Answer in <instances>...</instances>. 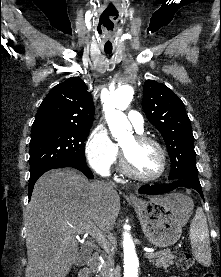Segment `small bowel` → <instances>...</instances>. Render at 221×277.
<instances>
[{
	"label": "small bowel",
	"mask_w": 221,
	"mask_h": 277,
	"mask_svg": "<svg viewBox=\"0 0 221 277\" xmlns=\"http://www.w3.org/2000/svg\"><path fill=\"white\" fill-rule=\"evenodd\" d=\"M170 277H179V276H170Z\"/></svg>",
	"instance_id": "1"
}]
</instances>
